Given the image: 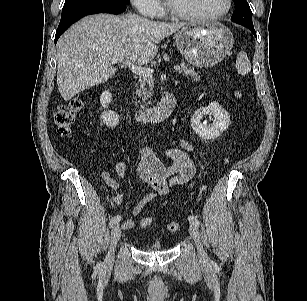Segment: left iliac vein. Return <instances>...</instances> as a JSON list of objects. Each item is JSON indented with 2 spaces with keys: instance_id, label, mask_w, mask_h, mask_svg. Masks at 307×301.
<instances>
[{
  "instance_id": "obj_1",
  "label": "left iliac vein",
  "mask_w": 307,
  "mask_h": 301,
  "mask_svg": "<svg viewBox=\"0 0 307 301\" xmlns=\"http://www.w3.org/2000/svg\"><path fill=\"white\" fill-rule=\"evenodd\" d=\"M189 234L196 244L197 254H198L200 261L206 262L208 260V255L205 252L203 245L201 243L199 230L197 226H195L192 223L189 226Z\"/></svg>"
}]
</instances>
